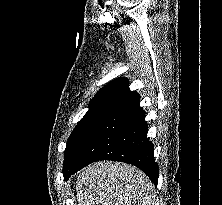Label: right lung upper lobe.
<instances>
[{"label":"right lung upper lobe","instance_id":"cb5924a9","mask_svg":"<svg viewBox=\"0 0 222 205\" xmlns=\"http://www.w3.org/2000/svg\"><path fill=\"white\" fill-rule=\"evenodd\" d=\"M135 93L134 91H130L127 79L117 78L95 95L90 102L87 113L109 112Z\"/></svg>","mask_w":222,"mask_h":205}]
</instances>
